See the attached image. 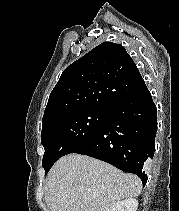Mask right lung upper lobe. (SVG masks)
Segmentation results:
<instances>
[{
    "label": "right lung upper lobe",
    "instance_id": "obj_1",
    "mask_svg": "<svg viewBox=\"0 0 179 211\" xmlns=\"http://www.w3.org/2000/svg\"><path fill=\"white\" fill-rule=\"evenodd\" d=\"M143 82L125 48L104 42L63 71L50 94L42 127L81 110L111 109Z\"/></svg>",
    "mask_w": 179,
    "mask_h": 211
}]
</instances>
